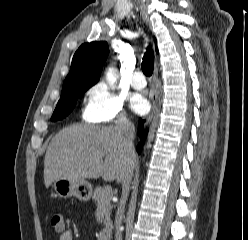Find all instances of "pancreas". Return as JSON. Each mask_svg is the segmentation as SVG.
Segmentation results:
<instances>
[{
	"label": "pancreas",
	"mask_w": 248,
	"mask_h": 240,
	"mask_svg": "<svg viewBox=\"0 0 248 240\" xmlns=\"http://www.w3.org/2000/svg\"><path fill=\"white\" fill-rule=\"evenodd\" d=\"M112 195L106 194L105 190L102 187H96L92 195L93 201L96 203L98 208H103L105 210V219H104V232L107 237H111V229L113 227L112 221L110 219V213L112 206L110 204Z\"/></svg>",
	"instance_id": "cf45deb5"
}]
</instances>
